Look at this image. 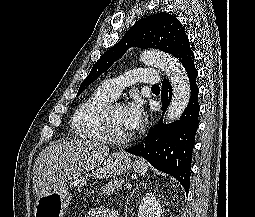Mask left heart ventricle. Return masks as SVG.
I'll return each instance as SVG.
<instances>
[{
	"mask_svg": "<svg viewBox=\"0 0 255 217\" xmlns=\"http://www.w3.org/2000/svg\"><path fill=\"white\" fill-rule=\"evenodd\" d=\"M110 122L112 132L115 135L124 137L131 134L127 126L124 106L117 105L113 108L110 115Z\"/></svg>",
	"mask_w": 255,
	"mask_h": 217,
	"instance_id": "1",
	"label": "left heart ventricle"
}]
</instances>
